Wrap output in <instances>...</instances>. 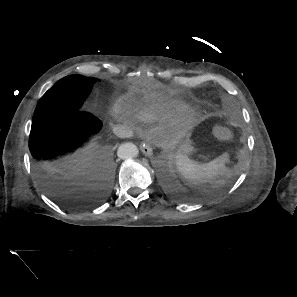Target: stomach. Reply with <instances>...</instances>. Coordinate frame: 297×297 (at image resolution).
<instances>
[{"label": "stomach", "instance_id": "1", "mask_svg": "<svg viewBox=\"0 0 297 297\" xmlns=\"http://www.w3.org/2000/svg\"><path fill=\"white\" fill-rule=\"evenodd\" d=\"M194 147L189 139L182 141L178 148V155L188 156L192 153Z\"/></svg>", "mask_w": 297, "mask_h": 297}]
</instances>
